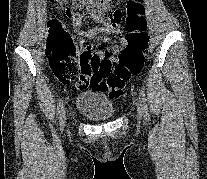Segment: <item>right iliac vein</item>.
Here are the masks:
<instances>
[{"label": "right iliac vein", "instance_id": "right-iliac-vein-1", "mask_svg": "<svg viewBox=\"0 0 207 179\" xmlns=\"http://www.w3.org/2000/svg\"><path fill=\"white\" fill-rule=\"evenodd\" d=\"M66 123V113L64 111L63 117H62V126H64Z\"/></svg>", "mask_w": 207, "mask_h": 179}]
</instances>
